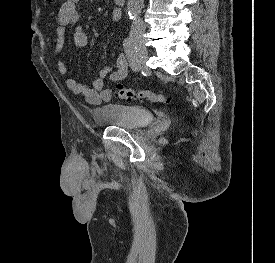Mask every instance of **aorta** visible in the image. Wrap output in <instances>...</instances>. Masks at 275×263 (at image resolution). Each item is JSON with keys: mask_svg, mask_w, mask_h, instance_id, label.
Returning <instances> with one entry per match:
<instances>
[{"mask_svg": "<svg viewBox=\"0 0 275 263\" xmlns=\"http://www.w3.org/2000/svg\"><path fill=\"white\" fill-rule=\"evenodd\" d=\"M144 0H128L127 10L129 18L135 20L139 16L143 8Z\"/></svg>", "mask_w": 275, "mask_h": 263, "instance_id": "obj_1", "label": "aorta"}]
</instances>
